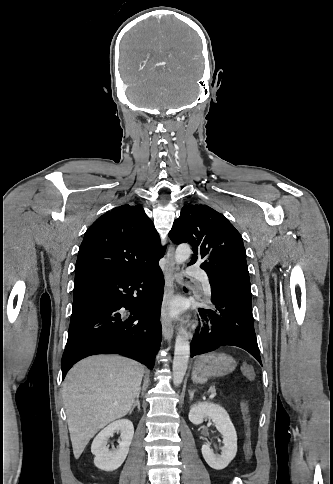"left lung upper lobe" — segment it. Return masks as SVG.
I'll return each instance as SVG.
<instances>
[{
    "mask_svg": "<svg viewBox=\"0 0 333 484\" xmlns=\"http://www.w3.org/2000/svg\"><path fill=\"white\" fill-rule=\"evenodd\" d=\"M176 243H189L197 258L207 260L226 250H237L246 258L243 239L235 227L219 212L207 205H184L180 217L169 232Z\"/></svg>",
    "mask_w": 333,
    "mask_h": 484,
    "instance_id": "left-lung-upper-lobe-1",
    "label": "left lung upper lobe"
}]
</instances>
